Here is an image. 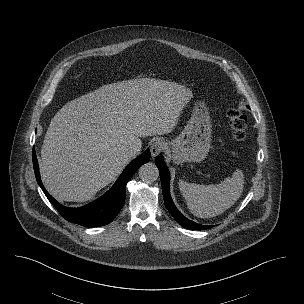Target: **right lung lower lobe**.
I'll return each instance as SVG.
<instances>
[{
  "label": "right lung lower lobe",
  "instance_id": "98d812e1",
  "mask_svg": "<svg viewBox=\"0 0 304 304\" xmlns=\"http://www.w3.org/2000/svg\"><path fill=\"white\" fill-rule=\"evenodd\" d=\"M33 167L36 180L48 200L58 212L69 222L83 226H103L111 223L125 203V189L129 179L134 173L150 159L147 149L142 155L132 161L122 172L113 187L103 196L92 203L80 208H68L60 205L44 188L40 175L35 149L32 153Z\"/></svg>",
  "mask_w": 304,
  "mask_h": 304
}]
</instances>
